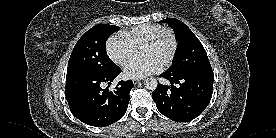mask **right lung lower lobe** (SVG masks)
<instances>
[{"label": "right lung lower lobe", "mask_w": 276, "mask_h": 138, "mask_svg": "<svg viewBox=\"0 0 276 138\" xmlns=\"http://www.w3.org/2000/svg\"><path fill=\"white\" fill-rule=\"evenodd\" d=\"M120 72L117 67L107 74H86L66 80L65 95L73 115L95 127H105L121 119L128 107L133 82L120 81L114 91L101 88L104 82L111 84Z\"/></svg>", "instance_id": "1"}]
</instances>
